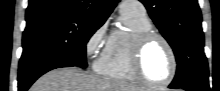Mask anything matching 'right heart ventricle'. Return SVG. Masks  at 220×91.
Instances as JSON below:
<instances>
[{"label":"right heart ventricle","mask_w":220,"mask_h":91,"mask_svg":"<svg viewBox=\"0 0 220 91\" xmlns=\"http://www.w3.org/2000/svg\"><path fill=\"white\" fill-rule=\"evenodd\" d=\"M125 28L115 30L108 38L105 49L98 60L97 70L117 81L136 84L139 82L131 66V47L134 39L152 30L146 16L121 14Z\"/></svg>","instance_id":"obj_1"}]
</instances>
